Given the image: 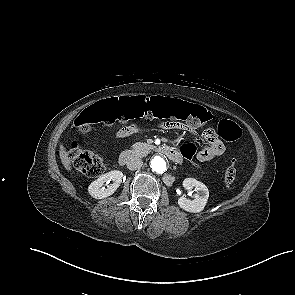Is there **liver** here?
<instances>
[{
  "mask_svg": "<svg viewBox=\"0 0 295 295\" xmlns=\"http://www.w3.org/2000/svg\"><path fill=\"white\" fill-rule=\"evenodd\" d=\"M59 154H60L61 162H62L63 166L65 167V169L67 171H71V169H72L71 159H70L68 153L66 152L65 147L62 144L60 145Z\"/></svg>",
  "mask_w": 295,
  "mask_h": 295,
  "instance_id": "1",
  "label": "liver"
}]
</instances>
